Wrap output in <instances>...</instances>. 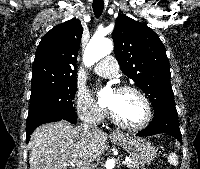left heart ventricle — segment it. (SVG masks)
I'll list each match as a JSON object with an SVG mask.
<instances>
[{
	"mask_svg": "<svg viewBox=\"0 0 200 169\" xmlns=\"http://www.w3.org/2000/svg\"><path fill=\"white\" fill-rule=\"evenodd\" d=\"M107 104L111 107L119 119L124 123L137 126L146 118V107L139 95L134 92H112Z\"/></svg>",
	"mask_w": 200,
	"mask_h": 169,
	"instance_id": "obj_1",
	"label": "left heart ventricle"
}]
</instances>
